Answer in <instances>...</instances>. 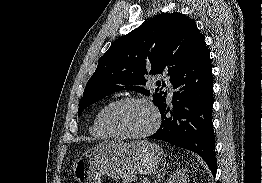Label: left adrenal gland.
Segmentation results:
<instances>
[{
    "label": "left adrenal gland",
    "mask_w": 262,
    "mask_h": 183,
    "mask_svg": "<svg viewBox=\"0 0 262 183\" xmlns=\"http://www.w3.org/2000/svg\"><path fill=\"white\" fill-rule=\"evenodd\" d=\"M167 167H168V164H167L166 168ZM165 172H166V169H164V167H163L162 168V174H161V176L158 177V179H160L164 175ZM154 183H156V182H154Z\"/></svg>",
    "instance_id": "1"
}]
</instances>
